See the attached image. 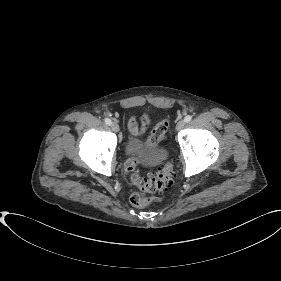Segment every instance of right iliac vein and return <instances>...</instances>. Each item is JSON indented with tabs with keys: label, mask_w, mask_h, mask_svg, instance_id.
I'll list each match as a JSON object with an SVG mask.
<instances>
[{
	"label": "right iliac vein",
	"mask_w": 281,
	"mask_h": 281,
	"mask_svg": "<svg viewBox=\"0 0 281 281\" xmlns=\"http://www.w3.org/2000/svg\"><path fill=\"white\" fill-rule=\"evenodd\" d=\"M111 129L114 132H118L119 131V125L116 122L111 123Z\"/></svg>",
	"instance_id": "63e3f726"
}]
</instances>
